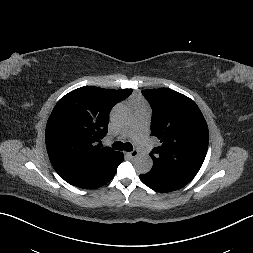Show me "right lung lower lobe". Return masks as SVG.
<instances>
[{
	"mask_svg": "<svg viewBox=\"0 0 253 253\" xmlns=\"http://www.w3.org/2000/svg\"><path fill=\"white\" fill-rule=\"evenodd\" d=\"M123 159H124V155L121 152H119V155H118L115 163L107 171L106 175L99 182H97L95 185L90 186V187H86L85 189L99 188V187L105 185L106 183H108L114 177V175L116 174L117 167L123 161Z\"/></svg>",
	"mask_w": 253,
	"mask_h": 253,
	"instance_id": "1",
	"label": "right lung lower lobe"
}]
</instances>
